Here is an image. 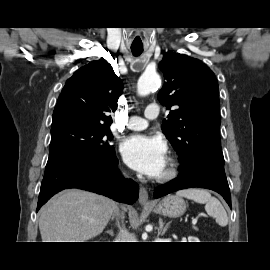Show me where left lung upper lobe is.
Returning a JSON list of instances; mask_svg holds the SVG:
<instances>
[{
  "label": "left lung upper lobe",
  "instance_id": "obj_1",
  "mask_svg": "<svg viewBox=\"0 0 270 270\" xmlns=\"http://www.w3.org/2000/svg\"><path fill=\"white\" fill-rule=\"evenodd\" d=\"M166 79L158 100L170 110L162 131L177 151L180 164L196 154L223 156L219 135V86L200 60L168 52L159 63ZM174 106L175 109L171 110Z\"/></svg>",
  "mask_w": 270,
  "mask_h": 270
}]
</instances>
